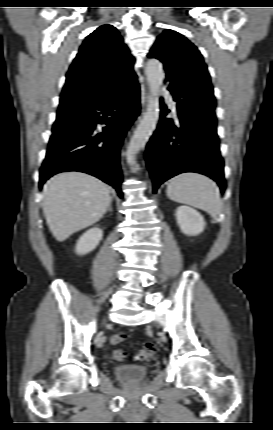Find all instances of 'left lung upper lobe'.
<instances>
[{"label":"left lung upper lobe","instance_id":"5c2ea615","mask_svg":"<svg viewBox=\"0 0 273 430\" xmlns=\"http://www.w3.org/2000/svg\"><path fill=\"white\" fill-rule=\"evenodd\" d=\"M148 57L157 58L164 64L168 90L179 108L200 119L216 120V102L207 66L189 40L166 29L158 36Z\"/></svg>","mask_w":273,"mask_h":430}]
</instances>
